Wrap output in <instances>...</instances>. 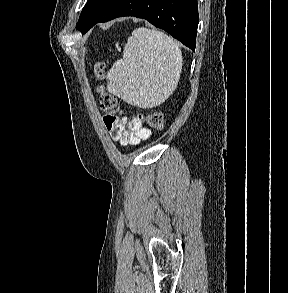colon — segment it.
<instances>
[{"instance_id":"1","label":"colon","mask_w":288,"mask_h":293,"mask_svg":"<svg viewBox=\"0 0 288 293\" xmlns=\"http://www.w3.org/2000/svg\"><path fill=\"white\" fill-rule=\"evenodd\" d=\"M105 75V63L97 61L94 65V76L98 81H102ZM100 94L101 107L104 110H114L117 107L116 98L109 94L103 84H99L97 88ZM139 121L147 123L150 127L156 130H162L165 126V118L161 112L154 111L146 115H138Z\"/></svg>"}]
</instances>
